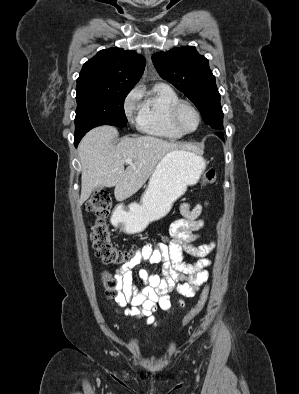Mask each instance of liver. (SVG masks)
Returning <instances> with one entry per match:
<instances>
[{
  "label": "liver",
  "instance_id": "obj_1",
  "mask_svg": "<svg viewBox=\"0 0 299 394\" xmlns=\"http://www.w3.org/2000/svg\"><path fill=\"white\" fill-rule=\"evenodd\" d=\"M117 135L115 127L100 126L81 140L78 147L83 169L80 204L89 198L93 189L101 186H115L118 201L131 197L152 176L167 153L183 147L153 136L126 137L114 146L112 141ZM127 158L133 162L124 169Z\"/></svg>",
  "mask_w": 299,
  "mask_h": 394
}]
</instances>
